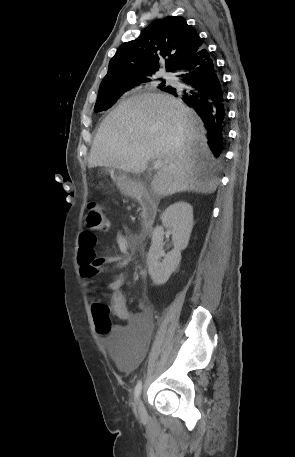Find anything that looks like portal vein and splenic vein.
I'll return each mask as SVG.
<instances>
[{
    "label": "portal vein and splenic vein",
    "instance_id": "18ae733b",
    "mask_svg": "<svg viewBox=\"0 0 295 457\" xmlns=\"http://www.w3.org/2000/svg\"><path fill=\"white\" fill-rule=\"evenodd\" d=\"M162 166H163V162H162L161 160H156V161H154V163H153L154 169H159V168H161Z\"/></svg>",
    "mask_w": 295,
    "mask_h": 457
}]
</instances>
